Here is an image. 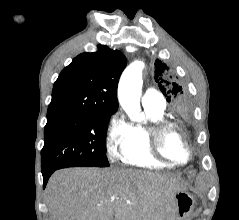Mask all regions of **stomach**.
Wrapping results in <instances>:
<instances>
[{
    "label": "stomach",
    "mask_w": 239,
    "mask_h": 220,
    "mask_svg": "<svg viewBox=\"0 0 239 220\" xmlns=\"http://www.w3.org/2000/svg\"><path fill=\"white\" fill-rule=\"evenodd\" d=\"M175 211L179 220H185L194 209V198L187 191H178L174 194Z\"/></svg>",
    "instance_id": "1"
}]
</instances>
